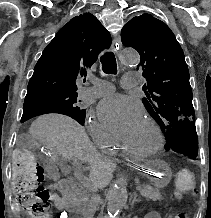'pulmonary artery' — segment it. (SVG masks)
I'll use <instances>...</instances> for the list:
<instances>
[{"instance_id": "e3ab8cb5", "label": "pulmonary artery", "mask_w": 211, "mask_h": 218, "mask_svg": "<svg viewBox=\"0 0 211 218\" xmlns=\"http://www.w3.org/2000/svg\"><path fill=\"white\" fill-rule=\"evenodd\" d=\"M124 79L120 82V87H124V91H129V87H135V85H144L143 75L136 72L126 74ZM91 87L82 88L80 95L85 98H97L110 94L114 90V85L111 82L101 80L98 78H91Z\"/></svg>"}]
</instances>
